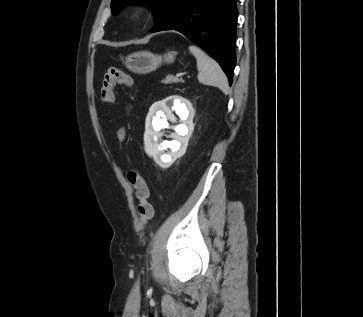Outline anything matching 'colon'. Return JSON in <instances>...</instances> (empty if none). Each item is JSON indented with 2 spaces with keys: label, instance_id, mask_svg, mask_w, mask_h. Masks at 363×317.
<instances>
[{
  "label": "colon",
  "instance_id": "obj_1",
  "mask_svg": "<svg viewBox=\"0 0 363 317\" xmlns=\"http://www.w3.org/2000/svg\"><path fill=\"white\" fill-rule=\"evenodd\" d=\"M132 86L133 80L124 71L111 67L104 74L99 92V99L104 103H112L115 99L114 89L116 85ZM128 180L133 186L135 195L139 201L138 215L139 225L144 227L153 217V206L149 202V188L142 173L137 169L128 172Z\"/></svg>",
  "mask_w": 363,
  "mask_h": 317
}]
</instances>
